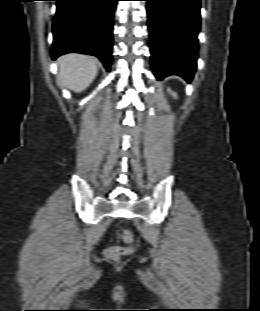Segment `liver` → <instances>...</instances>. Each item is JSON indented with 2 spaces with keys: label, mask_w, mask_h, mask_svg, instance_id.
Here are the masks:
<instances>
[{
  "label": "liver",
  "mask_w": 260,
  "mask_h": 311,
  "mask_svg": "<svg viewBox=\"0 0 260 311\" xmlns=\"http://www.w3.org/2000/svg\"><path fill=\"white\" fill-rule=\"evenodd\" d=\"M58 82L74 92L85 90L95 79L97 59L82 54H67L58 59Z\"/></svg>",
  "instance_id": "6515ba94"
}]
</instances>
